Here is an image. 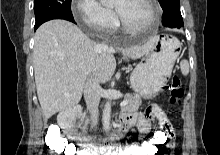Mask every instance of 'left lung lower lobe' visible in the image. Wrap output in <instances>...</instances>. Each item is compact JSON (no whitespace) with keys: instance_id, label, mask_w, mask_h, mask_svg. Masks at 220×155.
I'll list each match as a JSON object with an SVG mask.
<instances>
[{"instance_id":"0a47b994","label":"left lung lower lobe","mask_w":220,"mask_h":155,"mask_svg":"<svg viewBox=\"0 0 220 155\" xmlns=\"http://www.w3.org/2000/svg\"><path fill=\"white\" fill-rule=\"evenodd\" d=\"M162 24L168 28L183 27V19L181 16L180 8H173L164 11L162 16Z\"/></svg>"}]
</instances>
